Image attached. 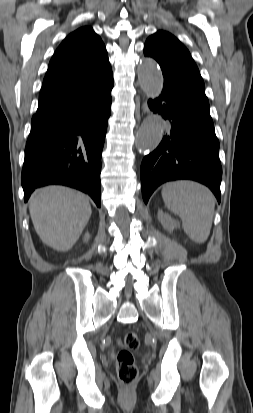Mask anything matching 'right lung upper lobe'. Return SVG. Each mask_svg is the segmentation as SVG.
I'll list each match as a JSON object with an SVG mask.
<instances>
[{
    "instance_id": "obj_1",
    "label": "right lung upper lobe",
    "mask_w": 253,
    "mask_h": 413,
    "mask_svg": "<svg viewBox=\"0 0 253 413\" xmlns=\"http://www.w3.org/2000/svg\"><path fill=\"white\" fill-rule=\"evenodd\" d=\"M112 74L106 48L89 26L68 35L50 60L33 118L93 95Z\"/></svg>"
}]
</instances>
